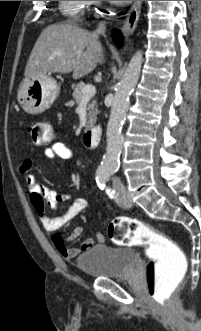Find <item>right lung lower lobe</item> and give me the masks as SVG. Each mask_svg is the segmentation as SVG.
Returning a JSON list of instances; mask_svg holds the SVG:
<instances>
[{
    "instance_id": "obj_1",
    "label": "right lung lower lobe",
    "mask_w": 201,
    "mask_h": 331,
    "mask_svg": "<svg viewBox=\"0 0 201 331\" xmlns=\"http://www.w3.org/2000/svg\"><path fill=\"white\" fill-rule=\"evenodd\" d=\"M112 37H113V40H114L115 44L120 46L119 43H121V41H122L121 34L117 30H113Z\"/></svg>"
}]
</instances>
